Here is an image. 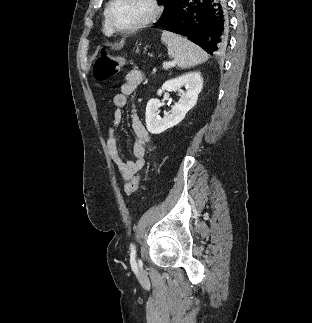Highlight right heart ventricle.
Masks as SVG:
<instances>
[{
	"instance_id": "1",
	"label": "right heart ventricle",
	"mask_w": 312,
	"mask_h": 323,
	"mask_svg": "<svg viewBox=\"0 0 312 323\" xmlns=\"http://www.w3.org/2000/svg\"><path fill=\"white\" fill-rule=\"evenodd\" d=\"M102 27H103L104 29H107V28L109 27V24H108L107 22H104V23L102 24Z\"/></svg>"
}]
</instances>
